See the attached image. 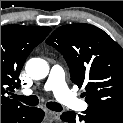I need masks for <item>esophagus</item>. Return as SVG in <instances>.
<instances>
[{
  "label": "esophagus",
  "mask_w": 123,
  "mask_h": 123,
  "mask_svg": "<svg viewBox=\"0 0 123 123\" xmlns=\"http://www.w3.org/2000/svg\"><path fill=\"white\" fill-rule=\"evenodd\" d=\"M46 114L48 116L52 117L56 121L60 120L61 113H59V112H52V111L47 110Z\"/></svg>",
  "instance_id": "34e87169"
}]
</instances>
